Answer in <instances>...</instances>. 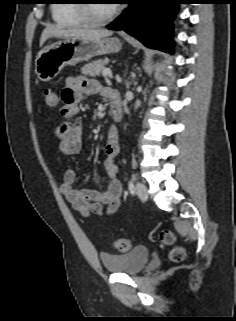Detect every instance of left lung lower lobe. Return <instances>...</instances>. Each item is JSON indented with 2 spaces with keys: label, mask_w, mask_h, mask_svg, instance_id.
Wrapping results in <instances>:
<instances>
[{
  "label": "left lung lower lobe",
  "mask_w": 236,
  "mask_h": 321,
  "mask_svg": "<svg viewBox=\"0 0 236 321\" xmlns=\"http://www.w3.org/2000/svg\"><path fill=\"white\" fill-rule=\"evenodd\" d=\"M126 9L113 23L111 30H124L150 48L173 53L172 20L177 0H128Z\"/></svg>",
  "instance_id": "left-lung-lower-lobe-1"
}]
</instances>
